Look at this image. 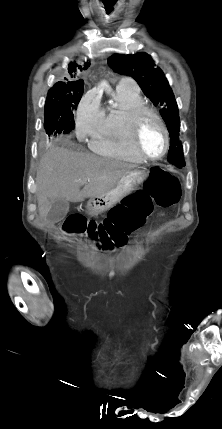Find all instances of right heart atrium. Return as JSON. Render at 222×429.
Listing matches in <instances>:
<instances>
[{
  "instance_id": "d8ad5b80",
  "label": "right heart atrium",
  "mask_w": 222,
  "mask_h": 429,
  "mask_svg": "<svg viewBox=\"0 0 222 429\" xmlns=\"http://www.w3.org/2000/svg\"><path fill=\"white\" fill-rule=\"evenodd\" d=\"M104 119V112L98 97L88 93L78 104L75 115V130L79 140L84 141L92 137L100 128Z\"/></svg>"
}]
</instances>
